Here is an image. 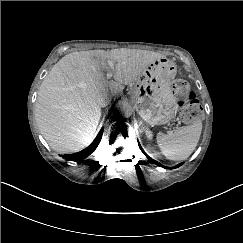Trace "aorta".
Returning <instances> with one entry per match:
<instances>
[{
    "instance_id": "aorta-1",
    "label": "aorta",
    "mask_w": 243,
    "mask_h": 243,
    "mask_svg": "<svg viewBox=\"0 0 243 243\" xmlns=\"http://www.w3.org/2000/svg\"><path fill=\"white\" fill-rule=\"evenodd\" d=\"M115 111L120 116H125L130 111V104L126 100H119L115 104Z\"/></svg>"
}]
</instances>
